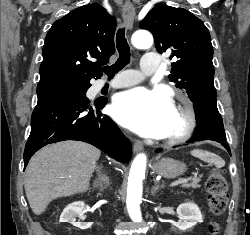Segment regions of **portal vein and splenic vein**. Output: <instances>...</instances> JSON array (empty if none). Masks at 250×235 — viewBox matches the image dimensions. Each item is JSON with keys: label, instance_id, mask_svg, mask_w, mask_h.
Returning a JSON list of instances; mask_svg holds the SVG:
<instances>
[{"label": "portal vein and splenic vein", "instance_id": "obj_1", "mask_svg": "<svg viewBox=\"0 0 250 235\" xmlns=\"http://www.w3.org/2000/svg\"><path fill=\"white\" fill-rule=\"evenodd\" d=\"M189 181V178H183V179H179V180H176L174 181L173 183H171V187H174V186H177L179 184H184V183H187Z\"/></svg>", "mask_w": 250, "mask_h": 235}]
</instances>
